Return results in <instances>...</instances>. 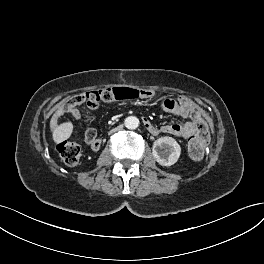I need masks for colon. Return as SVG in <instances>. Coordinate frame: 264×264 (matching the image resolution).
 Masks as SVG:
<instances>
[{
  "mask_svg": "<svg viewBox=\"0 0 264 264\" xmlns=\"http://www.w3.org/2000/svg\"><path fill=\"white\" fill-rule=\"evenodd\" d=\"M138 96L139 92L137 90L129 88H106L74 96L69 99V102L80 103L86 101L88 105H99L100 103H112L121 100H129ZM190 118L197 125V131L188 141V151L193 158L199 159L204 155L209 143V133L200 113L197 110L191 111ZM56 148L61 159L67 165L73 166L79 162L82 151L77 143L62 141L57 144Z\"/></svg>",
  "mask_w": 264,
  "mask_h": 264,
  "instance_id": "obj_1",
  "label": "colon"
}]
</instances>
